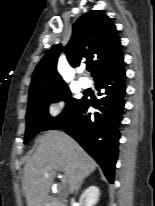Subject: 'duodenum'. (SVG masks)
Instances as JSON below:
<instances>
[{
  "label": "duodenum",
  "instance_id": "duodenum-1",
  "mask_svg": "<svg viewBox=\"0 0 155 206\" xmlns=\"http://www.w3.org/2000/svg\"><path fill=\"white\" fill-rule=\"evenodd\" d=\"M46 206H65V205L57 198L50 196L47 198Z\"/></svg>",
  "mask_w": 155,
  "mask_h": 206
}]
</instances>
